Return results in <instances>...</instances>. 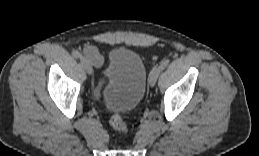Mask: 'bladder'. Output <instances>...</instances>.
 I'll list each match as a JSON object with an SVG mask.
<instances>
[{
    "mask_svg": "<svg viewBox=\"0 0 259 156\" xmlns=\"http://www.w3.org/2000/svg\"><path fill=\"white\" fill-rule=\"evenodd\" d=\"M102 74L107 81V89L120 86V90L106 101L107 109L123 114L139 105L145 93L147 73L137 53L125 48L113 49Z\"/></svg>",
    "mask_w": 259,
    "mask_h": 156,
    "instance_id": "1",
    "label": "bladder"
}]
</instances>
